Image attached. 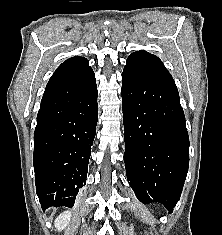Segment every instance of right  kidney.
Segmentation results:
<instances>
[{
  "mask_svg": "<svg viewBox=\"0 0 222 235\" xmlns=\"http://www.w3.org/2000/svg\"><path fill=\"white\" fill-rule=\"evenodd\" d=\"M71 219V212L65 211L61 213L55 220V227L58 231L63 230L69 224Z\"/></svg>",
  "mask_w": 222,
  "mask_h": 235,
  "instance_id": "obj_1",
  "label": "right kidney"
}]
</instances>
